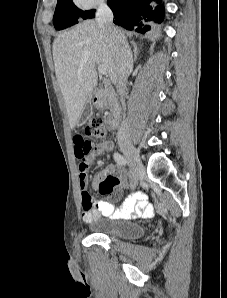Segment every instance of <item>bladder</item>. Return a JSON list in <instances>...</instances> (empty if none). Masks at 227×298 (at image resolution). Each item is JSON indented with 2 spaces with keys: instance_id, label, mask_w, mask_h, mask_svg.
Listing matches in <instances>:
<instances>
[{
  "instance_id": "bladder-1",
  "label": "bladder",
  "mask_w": 227,
  "mask_h": 298,
  "mask_svg": "<svg viewBox=\"0 0 227 298\" xmlns=\"http://www.w3.org/2000/svg\"><path fill=\"white\" fill-rule=\"evenodd\" d=\"M89 229L95 234H102L118 239L131 240L144 235L145 229L138 223L127 220H112L98 218L89 224Z\"/></svg>"
}]
</instances>
